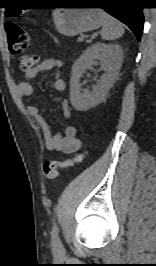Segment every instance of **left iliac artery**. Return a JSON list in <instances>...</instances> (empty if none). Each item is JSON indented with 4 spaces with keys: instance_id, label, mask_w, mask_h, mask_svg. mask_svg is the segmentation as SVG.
I'll return each mask as SVG.
<instances>
[{
    "instance_id": "1",
    "label": "left iliac artery",
    "mask_w": 156,
    "mask_h": 266,
    "mask_svg": "<svg viewBox=\"0 0 156 266\" xmlns=\"http://www.w3.org/2000/svg\"><path fill=\"white\" fill-rule=\"evenodd\" d=\"M51 236H52V242L55 245H60V239L58 236V227L56 223L52 227Z\"/></svg>"
}]
</instances>
